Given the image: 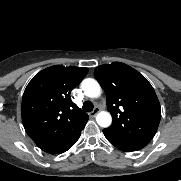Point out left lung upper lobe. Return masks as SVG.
<instances>
[{
    "instance_id": "1",
    "label": "left lung upper lobe",
    "mask_w": 181,
    "mask_h": 181,
    "mask_svg": "<svg viewBox=\"0 0 181 181\" xmlns=\"http://www.w3.org/2000/svg\"><path fill=\"white\" fill-rule=\"evenodd\" d=\"M94 76L105 90L107 109L113 117L112 125L103 133L149 143L158 129L161 108L148 80L121 62L98 66Z\"/></svg>"
}]
</instances>
